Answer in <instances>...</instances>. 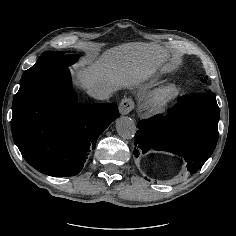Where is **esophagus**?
<instances>
[{"label":"esophagus","mask_w":236,"mask_h":236,"mask_svg":"<svg viewBox=\"0 0 236 236\" xmlns=\"http://www.w3.org/2000/svg\"><path fill=\"white\" fill-rule=\"evenodd\" d=\"M135 104L131 98H124L119 104L121 115H128L134 108Z\"/></svg>","instance_id":"34e87169"}]
</instances>
